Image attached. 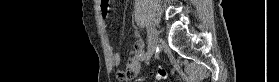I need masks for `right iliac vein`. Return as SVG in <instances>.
Returning <instances> with one entry per match:
<instances>
[{
  "label": "right iliac vein",
  "instance_id": "1",
  "mask_svg": "<svg viewBox=\"0 0 279 82\" xmlns=\"http://www.w3.org/2000/svg\"><path fill=\"white\" fill-rule=\"evenodd\" d=\"M158 39V32L157 30L150 25L148 30V52L144 57V60L147 62L150 60L151 56L153 55Z\"/></svg>",
  "mask_w": 279,
  "mask_h": 82
}]
</instances>
